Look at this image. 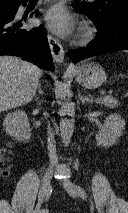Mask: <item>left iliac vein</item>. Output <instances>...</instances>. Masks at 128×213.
<instances>
[{
  "label": "left iliac vein",
  "instance_id": "1",
  "mask_svg": "<svg viewBox=\"0 0 128 213\" xmlns=\"http://www.w3.org/2000/svg\"><path fill=\"white\" fill-rule=\"evenodd\" d=\"M62 184L70 196L74 198L78 196L76 186L73 182H71L69 179H64L62 180Z\"/></svg>",
  "mask_w": 128,
  "mask_h": 213
}]
</instances>
